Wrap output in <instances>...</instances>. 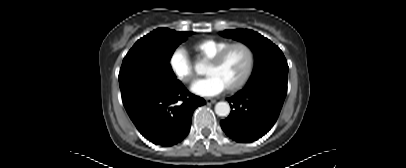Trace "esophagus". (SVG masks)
Returning a JSON list of instances; mask_svg holds the SVG:
<instances>
[{"label": "esophagus", "mask_w": 406, "mask_h": 168, "mask_svg": "<svg viewBox=\"0 0 406 168\" xmlns=\"http://www.w3.org/2000/svg\"><path fill=\"white\" fill-rule=\"evenodd\" d=\"M205 101L207 104H214L216 102V99L206 98Z\"/></svg>", "instance_id": "esophagus-1"}]
</instances>
